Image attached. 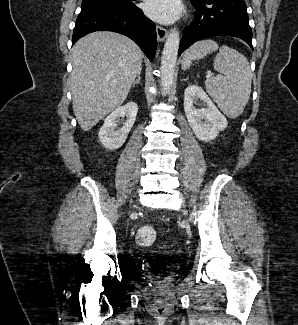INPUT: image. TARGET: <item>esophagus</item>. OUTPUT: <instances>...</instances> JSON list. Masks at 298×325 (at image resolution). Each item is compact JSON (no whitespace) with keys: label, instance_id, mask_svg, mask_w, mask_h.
<instances>
[{"label":"esophagus","instance_id":"esophagus-1","mask_svg":"<svg viewBox=\"0 0 298 325\" xmlns=\"http://www.w3.org/2000/svg\"><path fill=\"white\" fill-rule=\"evenodd\" d=\"M157 38L160 42H163L167 36V30L159 25L156 26Z\"/></svg>","mask_w":298,"mask_h":325}]
</instances>
